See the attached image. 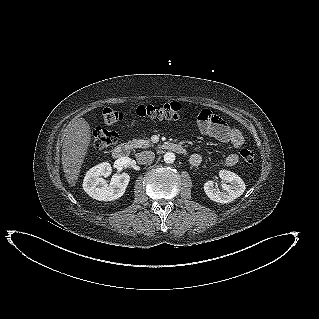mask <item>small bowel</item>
I'll return each instance as SVG.
<instances>
[{"instance_id": "c3829d8e", "label": "small bowel", "mask_w": 319, "mask_h": 319, "mask_svg": "<svg viewBox=\"0 0 319 319\" xmlns=\"http://www.w3.org/2000/svg\"><path fill=\"white\" fill-rule=\"evenodd\" d=\"M206 114L198 119V125L201 131L216 140L230 144L233 148H240L244 144V136L237 128L229 126L220 117L206 110ZM203 161L201 154L195 153L190 157V163L193 166H199ZM239 161L237 153H230L225 157L224 163L227 166H233Z\"/></svg>"}]
</instances>
